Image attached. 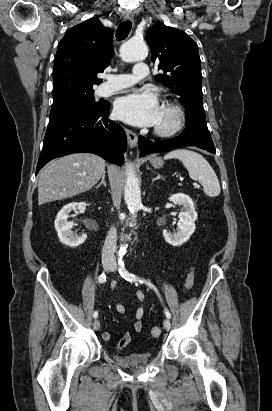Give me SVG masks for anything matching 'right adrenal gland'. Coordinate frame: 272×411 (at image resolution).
Returning <instances> with one entry per match:
<instances>
[{"mask_svg":"<svg viewBox=\"0 0 272 411\" xmlns=\"http://www.w3.org/2000/svg\"><path fill=\"white\" fill-rule=\"evenodd\" d=\"M105 177H106V174L103 173L101 182L96 186V188H99L101 185H104L105 187L107 186L106 181H105Z\"/></svg>","mask_w":272,"mask_h":411,"instance_id":"obj_1","label":"right adrenal gland"}]
</instances>
